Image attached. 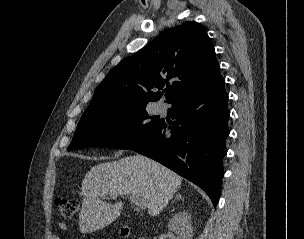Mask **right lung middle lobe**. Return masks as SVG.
<instances>
[{
  "mask_svg": "<svg viewBox=\"0 0 304 239\" xmlns=\"http://www.w3.org/2000/svg\"><path fill=\"white\" fill-rule=\"evenodd\" d=\"M160 122L148 116L146 105L114 107L81 118L68 151L91 146L131 149L151 135Z\"/></svg>",
  "mask_w": 304,
  "mask_h": 239,
  "instance_id": "dd1d6c3e",
  "label": "right lung middle lobe"
}]
</instances>
